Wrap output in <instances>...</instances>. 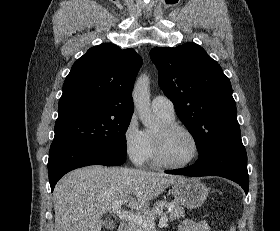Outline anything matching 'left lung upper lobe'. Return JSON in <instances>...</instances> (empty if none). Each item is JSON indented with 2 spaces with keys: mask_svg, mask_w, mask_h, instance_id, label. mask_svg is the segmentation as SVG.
Listing matches in <instances>:
<instances>
[{
  "mask_svg": "<svg viewBox=\"0 0 280 231\" xmlns=\"http://www.w3.org/2000/svg\"><path fill=\"white\" fill-rule=\"evenodd\" d=\"M150 57L159 86L192 134L199 157L219 143L241 138L231 83L202 47L193 42L155 47Z\"/></svg>",
  "mask_w": 280,
  "mask_h": 231,
  "instance_id": "1",
  "label": "left lung upper lobe"
}]
</instances>
